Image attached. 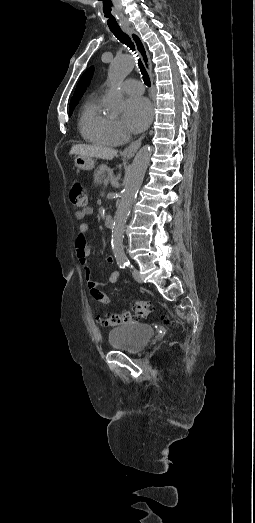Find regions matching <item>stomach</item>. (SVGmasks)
I'll return each mask as SVG.
<instances>
[{"label": "stomach", "instance_id": "obj_1", "mask_svg": "<svg viewBox=\"0 0 255 523\" xmlns=\"http://www.w3.org/2000/svg\"><path fill=\"white\" fill-rule=\"evenodd\" d=\"M124 158H130V156H124ZM74 164L76 168H79V170H93L95 162L92 160V158H83V156H77V158L74 160Z\"/></svg>", "mask_w": 255, "mask_h": 523}]
</instances>
